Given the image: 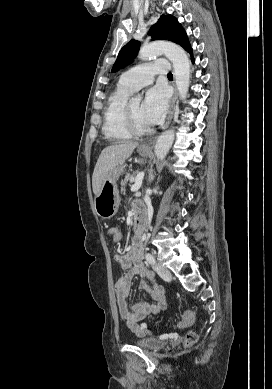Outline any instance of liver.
Masks as SVG:
<instances>
[{
  "label": "liver",
  "instance_id": "6515ba94",
  "mask_svg": "<svg viewBox=\"0 0 272 389\" xmlns=\"http://www.w3.org/2000/svg\"><path fill=\"white\" fill-rule=\"evenodd\" d=\"M137 146V142L125 141L109 145L101 151L92 175V188L95 195L99 194L107 173L117 165L123 164Z\"/></svg>",
  "mask_w": 272,
  "mask_h": 389
}]
</instances>
